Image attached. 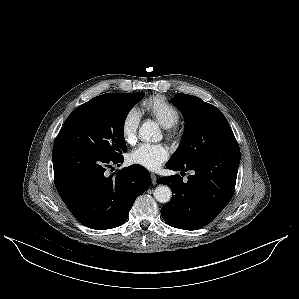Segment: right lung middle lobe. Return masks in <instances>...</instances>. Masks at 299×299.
Returning <instances> with one entry per match:
<instances>
[{"label": "right lung middle lobe", "instance_id": "1", "mask_svg": "<svg viewBox=\"0 0 299 299\" xmlns=\"http://www.w3.org/2000/svg\"><path fill=\"white\" fill-rule=\"evenodd\" d=\"M145 94L107 93L77 107L64 122L53 148L67 146L104 158L127 151L123 127Z\"/></svg>", "mask_w": 299, "mask_h": 299}]
</instances>
